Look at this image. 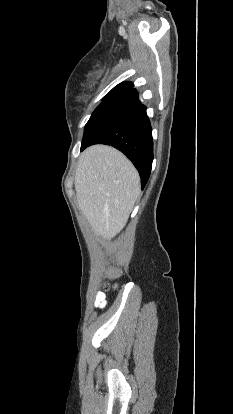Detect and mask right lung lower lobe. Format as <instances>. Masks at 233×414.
<instances>
[{
    "mask_svg": "<svg viewBox=\"0 0 233 414\" xmlns=\"http://www.w3.org/2000/svg\"><path fill=\"white\" fill-rule=\"evenodd\" d=\"M93 144L112 145L137 168L145 187L153 161L152 128L146 107L133 86L104 100L85 126L81 151Z\"/></svg>",
    "mask_w": 233,
    "mask_h": 414,
    "instance_id": "right-lung-lower-lobe-1",
    "label": "right lung lower lobe"
}]
</instances>
